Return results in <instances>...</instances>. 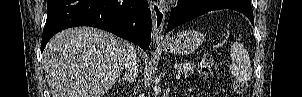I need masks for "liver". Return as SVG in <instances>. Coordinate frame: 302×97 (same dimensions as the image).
<instances>
[{"label":"liver","instance_id":"6515ba94","mask_svg":"<svg viewBox=\"0 0 302 97\" xmlns=\"http://www.w3.org/2000/svg\"><path fill=\"white\" fill-rule=\"evenodd\" d=\"M128 42L91 27L57 33L43 52L52 97H102L123 70Z\"/></svg>","mask_w":302,"mask_h":97}]
</instances>
